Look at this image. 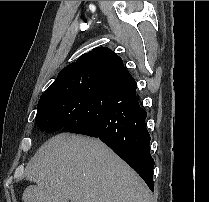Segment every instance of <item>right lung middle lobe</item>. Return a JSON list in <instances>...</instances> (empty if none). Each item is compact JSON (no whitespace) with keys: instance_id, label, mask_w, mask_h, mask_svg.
Here are the masks:
<instances>
[{"instance_id":"right-lung-middle-lobe-1","label":"right lung middle lobe","mask_w":209,"mask_h":202,"mask_svg":"<svg viewBox=\"0 0 209 202\" xmlns=\"http://www.w3.org/2000/svg\"><path fill=\"white\" fill-rule=\"evenodd\" d=\"M90 79L88 74L57 78L39 100L36 115L39 128L49 132L61 130L65 121L77 111L83 89Z\"/></svg>"}]
</instances>
